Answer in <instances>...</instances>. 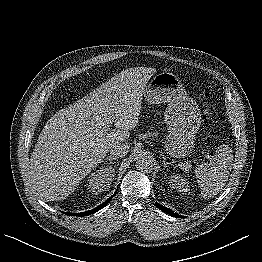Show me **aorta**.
I'll list each match as a JSON object with an SVG mask.
<instances>
[{
	"label": "aorta",
	"instance_id": "obj_1",
	"mask_svg": "<svg viewBox=\"0 0 262 262\" xmlns=\"http://www.w3.org/2000/svg\"><path fill=\"white\" fill-rule=\"evenodd\" d=\"M136 168L141 171H150L153 168L150 157L145 153H139L136 159Z\"/></svg>",
	"mask_w": 262,
	"mask_h": 262
}]
</instances>
